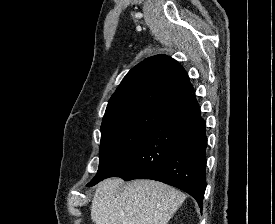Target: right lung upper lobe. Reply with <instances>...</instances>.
<instances>
[{
  "label": "right lung upper lobe",
  "mask_w": 275,
  "mask_h": 224,
  "mask_svg": "<svg viewBox=\"0 0 275 224\" xmlns=\"http://www.w3.org/2000/svg\"><path fill=\"white\" fill-rule=\"evenodd\" d=\"M184 68L166 55L149 57L131 69L109 100L102 123L143 108L168 110L193 93Z\"/></svg>",
  "instance_id": "right-lung-upper-lobe-1"
}]
</instances>
